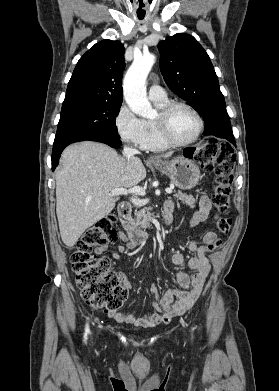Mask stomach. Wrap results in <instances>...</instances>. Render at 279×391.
Instances as JSON below:
<instances>
[{"instance_id": "1", "label": "stomach", "mask_w": 279, "mask_h": 391, "mask_svg": "<svg viewBox=\"0 0 279 391\" xmlns=\"http://www.w3.org/2000/svg\"><path fill=\"white\" fill-rule=\"evenodd\" d=\"M154 166L157 170L166 174L171 182L180 189L194 188L200 178V170L195 162L182 156L170 161L160 160Z\"/></svg>"}]
</instances>
